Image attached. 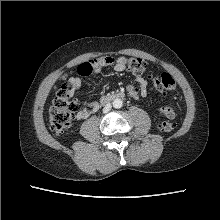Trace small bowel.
<instances>
[{"label":"small bowel","mask_w":220,"mask_h":220,"mask_svg":"<svg viewBox=\"0 0 220 220\" xmlns=\"http://www.w3.org/2000/svg\"><path fill=\"white\" fill-rule=\"evenodd\" d=\"M101 60V62L99 61ZM104 67H113L116 72H122L126 68L125 58L120 57L117 60L112 57H102L93 59L88 62H84L79 65L77 68V76L70 78V83L73 88V92L75 93L82 85V80L84 77H87L93 73L100 72ZM86 68H91V72L89 74L85 73ZM137 83L139 84V88L134 86H128L126 91L129 97L132 99H139L140 97H144L147 95L148 91V83L143 77H137ZM99 110V103L97 101L86 102L83 104L82 108L78 111L77 117L79 119H86L92 113H95Z\"/></svg>","instance_id":"small-bowel-1"}]
</instances>
